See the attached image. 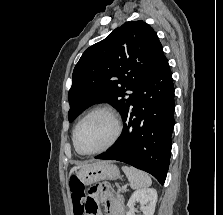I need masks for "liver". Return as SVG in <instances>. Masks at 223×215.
Listing matches in <instances>:
<instances>
[{"label": "liver", "mask_w": 223, "mask_h": 215, "mask_svg": "<svg viewBox=\"0 0 223 215\" xmlns=\"http://www.w3.org/2000/svg\"><path fill=\"white\" fill-rule=\"evenodd\" d=\"M88 165H90V163H81V165H75V167H71L69 175H72V173H74V171H77V169H82V167H88Z\"/></svg>", "instance_id": "6515ba94"}]
</instances>
